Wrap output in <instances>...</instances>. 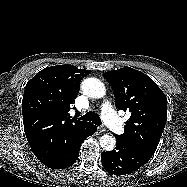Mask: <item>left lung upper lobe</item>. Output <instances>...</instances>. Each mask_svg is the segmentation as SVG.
Here are the masks:
<instances>
[{
    "instance_id": "left-lung-upper-lobe-1",
    "label": "left lung upper lobe",
    "mask_w": 187,
    "mask_h": 187,
    "mask_svg": "<svg viewBox=\"0 0 187 187\" xmlns=\"http://www.w3.org/2000/svg\"><path fill=\"white\" fill-rule=\"evenodd\" d=\"M111 83L118 109L129 110L125 131L117 135L133 149L154 154L167 118V98L158 85L130 67L104 73Z\"/></svg>"
}]
</instances>
